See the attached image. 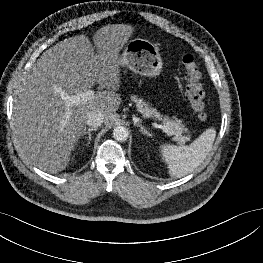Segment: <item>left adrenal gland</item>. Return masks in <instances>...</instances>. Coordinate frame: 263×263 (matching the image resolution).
Segmentation results:
<instances>
[{"instance_id": "left-adrenal-gland-1", "label": "left adrenal gland", "mask_w": 263, "mask_h": 263, "mask_svg": "<svg viewBox=\"0 0 263 263\" xmlns=\"http://www.w3.org/2000/svg\"><path fill=\"white\" fill-rule=\"evenodd\" d=\"M134 125L140 127V131H141L143 134H145V135H147V136H152V134H151L150 132H148L147 129L142 126V124H140V123H134Z\"/></svg>"}]
</instances>
